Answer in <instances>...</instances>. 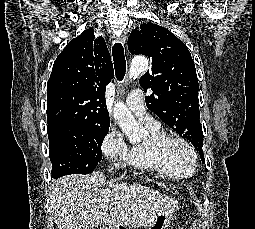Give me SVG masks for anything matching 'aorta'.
Instances as JSON below:
<instances>
[{"instance_id":"762f6f07","label":"aorta","mask_w":255,"mask_h":229,"mask_svg":"<svg viewBox=\"0 0 255 229\" xmlns=\"http://www.w3.org/2000/svg\"><path fill=\"white\" fill-rule=\"evenodd\" d=\"M147 69L148 60L145 57H136L131 62L128 78L135 79ZM113 114L117 124L128 136L130 141L138 142L141 140L143 136V130L124 103L117 102L114 106Z\"/></svg>"}]
</instances>
